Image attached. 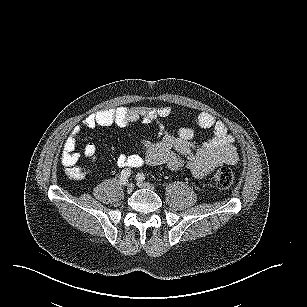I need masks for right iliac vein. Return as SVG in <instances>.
Here are the masks:
<instances>
[{"instance_id": "obj_1", "label": "right iliac vein", "mask_w": 307, "mask_h": 307, "mask_svg": "<svg viewBox=\"0 0 307 307\" xmlns=\"http://www.w3.org/2000/svg\"><path fill=\"white\" fill-rule=\"evenodd\" d=\"M134 190V184L133 183H129L128 185H127V191L130 193V192H132Z\"/></svg>"}]
</instances>
